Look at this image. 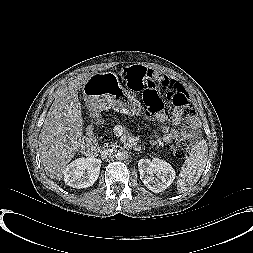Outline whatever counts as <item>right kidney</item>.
Wrapping results in <instances>:
<instances>
[{
  "instance_id": "ca27d5eb",
  "label": "right kidney",
  "mask_w": 253,
  "mask_h": 253,
  "mask_svg": "<svg viewBox=\"0 0 253 253\" xmlns=\"http://www.w3.org/2000/svg\"><path fill=\"white\" fill-rule=\"evenodd\" d=\"M101 160L95 157L78 158L68 164L63 171L64 181L73 188L92 186L98 179Z\"/></svg>"
}]
</instances>
